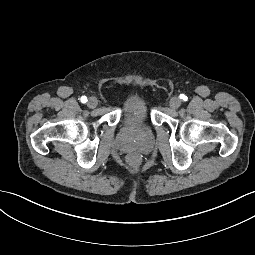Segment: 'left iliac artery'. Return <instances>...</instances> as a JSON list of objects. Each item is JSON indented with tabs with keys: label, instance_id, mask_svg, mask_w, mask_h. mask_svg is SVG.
Instances as JSON below:
<instances>
[{
	"label": "left iliac artery",
	"instance_id": "44dca946",
	"mask_svg": "<svg viewBox=\"0 0 255 255\" xmlns=\"http://www.w3.org/2000/svg\"><path fill=\"white\" fill-rule=\"evenodd\" d=\"M180 98H181L182 100H186V96L183 95V94L180 96Z\"/></svg>",
	"mask_w": 255,
	"mask_h": 255
}]
</instances>
